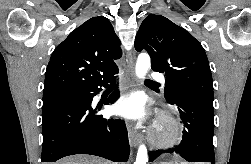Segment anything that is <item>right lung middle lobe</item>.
<instances>
[{
	"label": "right lung middle lobe",
	"instance_id": "dd1d6c3e",
	"mask_svg": "<svg viewBox=\"0 0 251 164\" xmlns=\"http://www.w3.org/2000/svg\"><path fill=\"white\" fill-rule=\"evenodd\" d=\"M70 91H73V90L68 88V89H58V90H52L49 92H44L43 100L50 98V97H53V96L65 95Z\"/></svg>",
	"mask_w": 251,
	"mask_h": 164
}]
</instances>
